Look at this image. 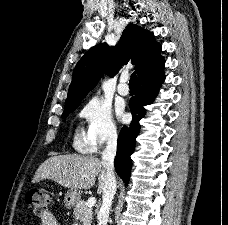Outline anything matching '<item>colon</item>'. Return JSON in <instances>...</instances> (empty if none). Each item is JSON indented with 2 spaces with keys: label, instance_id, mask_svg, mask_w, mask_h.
<instances>
[{
  "label": "colon",
  "instance_id": "1",
  "mask_svg": "<svg viewBox=\"0 0 228 225\" xmlns=\"http://www.w3.org/2000/svg\"><path fill=\"white\" fill-rule=\"evenodd\" d=\"M26 203L30 205L36 216H44L49 209V195L42 189L31 188L27 191L25 197Z\"/></svg>",
  "mask_w": 228,
  "mask_h": 225
}]
</instances>
